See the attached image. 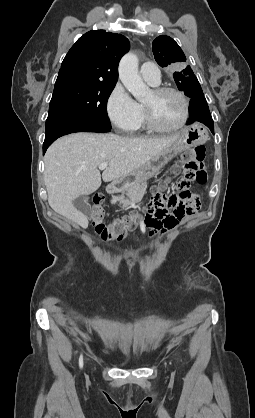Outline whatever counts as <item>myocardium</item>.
Here are the masks:
<instances>
[{"mask_svg": "<svg viewBox=\"0 0 255 418\" xmlns=\"http://www.w3.org/2000/svg\"><path fill=\"white\" fill-rule=\"evenodd\" d=\"M153 92L156 95H161L164 93H174L177 96H179L183 102L184 114H183L182 120L177 125L173 127H163L156 122L151 109L144 104L143 110H144V117H145L147 127L159 133H172L184 127L190 116V102H189L188 97L179 89L174 88V87H168V86L157 87L153 90Z\"/></svg>", "mask_w": 255, "mask_h": 418, "instance_id": "myocardium-1", "label": "myocardium"}]
</instances>
